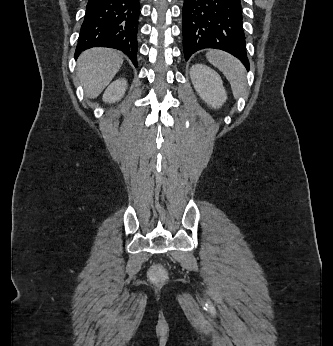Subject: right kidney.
Returning a JSON list of instances; mask_svg holds the SVG:
<instances>
[{"mask_svg": "<svg viewBox=\"0 0 333 346\" xmlns=\"http://www.w3.org/2000/svg\"><path fill=\"white\" fill-rule=\"evenodd\" d=\"M127 89V81L118 79L112 82L103 94V101L107 103H115L120 100Z\"/></svg>", "mask_w": 333, "mask_h": 346, "instance_id": "obj_1", "label": "right kidney"}]
</instances>
